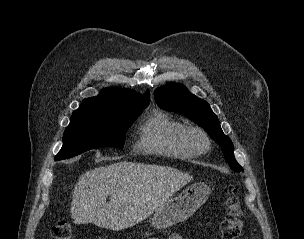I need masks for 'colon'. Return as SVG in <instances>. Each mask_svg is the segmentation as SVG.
<instances>
[{
	"label": "colon",
	"instance_id": "1",
	"mask_svg": "<svg viewBox=\"0 0 304 239\" xmlns=\"http://www.w3.org/2000/svg\"><path fill=\"white\" fill-rule=\"evenodd\" d=\"M226 216L221 222L222 239H237L242 232L243 227V208L236 189L233 186L226 188ZM53 239H72V231L66 220L58 221L51 228Z\"/></svg>",
	"mask_w": 304,
	"mask_h": 239
}]
</instances>
